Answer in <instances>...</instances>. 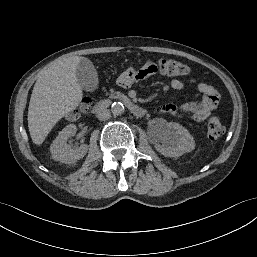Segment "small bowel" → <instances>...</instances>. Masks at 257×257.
I'll return each mask as SVG.
<instances>
[{"mask_svg": "<svg viewBox=\"0 0 257 257\" xmlns=\"http://www.w3.org/2000/svg\"><path fill=\"white\" fill-rule=\"evenodd\" d=\"M159 67L157 63L151 59L140 60L133 64H128L119 68L115 74L118 85L124 89L131 87L140 88L145 84H151L158 77ZM193 77L179 78L171 75L167 79L169 87L175 90H183L187 83H195ZM195 97L197 101L185 103L181 106L174 104H165L158 108L160 113L166 114H187L194 121L202 122L208 118L211 112L216 108L219 102V93L216 87L209 82H200L197 85Z\"/></svg>", "mask_w": 257, "mask_h": 257, "instance_id": "small-bowel-1", "label": "small bowel"}]
</instances>
